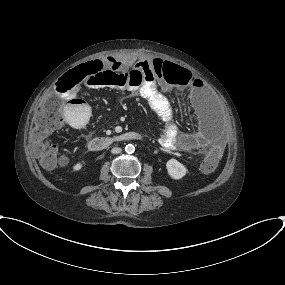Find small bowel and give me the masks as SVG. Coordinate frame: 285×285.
Instances as JSON below:
<instances>
[{
    "label": "small bowel",
    "mask_w": 285,
    "mask_h": 285,
    "mask_svg": "<svg viewBox=\"0 0 285 285\" xmlns=\"http://www.w3.org/2000/svg\"><path fill=\"white\" fill-rule=\"evenodd\" d=\"M115 63L120 70H126L131 65L144 73V84L139 95L146 99L151 111L163 123V132L159 137V144L168 150H181L190 157L200 158L211 155L215 151L222 153L224 143L214 124L207 119H202L196 132H183L174 121V110L170 100L162 94L161 87L165 89L179 90L188 87L192 100L198 107L203 106V98L200 95V80L187 69L174 64L183 72H174L170 76L159 79L158 72L165 65L162 59H141L133 61L130 57H115ZM91 88L99 89L107 85L100 79L88 80ZM69 81H63L61 86L66 87ZM136 97V94H132ZM65 117L71 128H80L82 120L90 119V107L78 94L69 96L65 105Z\"/></svg>",
    "instance_id": "obj_1"
}]
</instances>
